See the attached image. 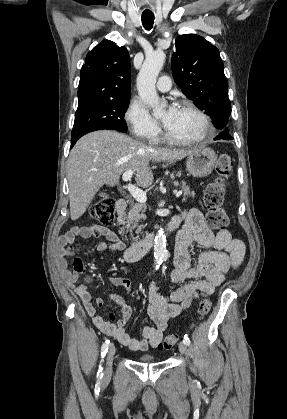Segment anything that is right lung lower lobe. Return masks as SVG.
<instances>
[{
	"label": "right lung lower lobe",
	"mask_w": 287,
	"mask_h": 419,
	"mask_svg": "<svg viewBox=\"0 0 287 419\" xmlns=\"http://www.w3.org/2000/svg\"><path fill=\"white\" fill-rule=\"evenodd\" d=\"M74 146V144H71V147H73Z\"/></svg>",
	"instance_id": "98d812e1"
}]
</instances>
